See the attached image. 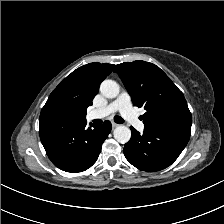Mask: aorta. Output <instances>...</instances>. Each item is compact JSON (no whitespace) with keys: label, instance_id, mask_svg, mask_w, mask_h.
<instances>
[{"label":"aorta","instance_id":"aorta-1","mask_svg":"<svg viewBox=\"0 0 224 224\" xmlns=\"http://www.w3.org/2000/svg\"><path fill=\"white\" fill-rule=\"evenodd\" d=\"M100 92L106 98H115L119 94V85L113 80H104L100 85ZM114 138L121 144L127 143L131 138V130L124 125H119L114 129Z\"/></svg>","mask_w":224,"mask_h":224}]
</instances>
